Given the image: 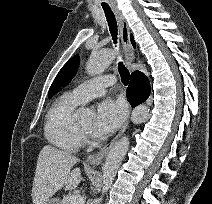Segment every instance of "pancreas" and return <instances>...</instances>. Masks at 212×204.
<instances>
[{
  "mask_svg": "<svg viewBox=\"0 0 212 204\" xmlns=\"http://www.w3.org/2000/svg\"><path fill=\"white\" fill-rule=\"evenodd\" d=\"M72 196H73L72 194H68L67 196H65L61 201V204H70V199Z\"/></svg>",
  "mask_w": 212,
  "mask_h": 204,
  "instance_id": "1",
  "label": "pancreas"
}]
</instances>
